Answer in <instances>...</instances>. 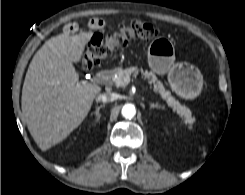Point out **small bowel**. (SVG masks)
Instances as JSON below:
<instances>
[{
  "label": "small bowel",
  "mask_w": 245,
  "mask_h": 195,
  "mask_svg": "<svg viewBox=\"0 0 245 195\" xmlns=\"http://www.w3.org/2000/svg\"><path fill=\"white\" fill-rule=\"evenodd\" d=\"M88 26L94 30L102 29L105 27V22L100 18H92L89 20ZM63 30L65 34H73L78 30V25L74 22H70L64 26Z\"/></svg>",
  "instance_id": "c3829d8e"
}]
</instances>
